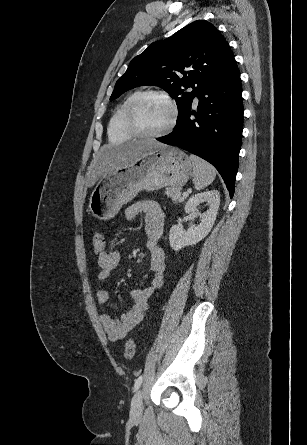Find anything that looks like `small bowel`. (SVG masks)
<instances>
[{"label":"small bowel","mask_w":307,"mask_h":445,"mask_svg":"<svg viewBox=\"0 0 307 445\" xmlns=\"http://www.w3.org/2000/svg\"><path fill=\"white\" fill-rule=\"evenodd\" d=\"M141 215L145 219L146 246L150 252V283L148 286L135 288L132 291L133 305L120 318H113L108 313L100 315L99 320L104 332L108 339L113 342L124 339L130 331L142 322L148 310L151 295L164 283L166 262L164 250L160 246V239L165 223V213L160 204L153 200L136 202L125 210V216L128 220H135ZM120 260L121 255L117 251H104L99 254L98 265L100 271L98 280L101 284H107L111 272L118 267ZM108 300L109 292L103 286L97 292V301L100 305H104Z\"/></svg>","instance_id":"obj_1"}]
</instances>
